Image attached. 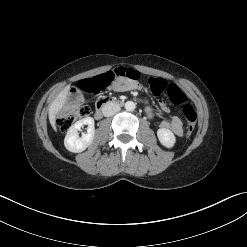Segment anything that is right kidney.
Listing matches in <instances>:
<instances>
[{
	"instance_id": "1",
	"label": "right kidney",
	"mask_w": 247,
	"mask_h": 247,
	"mask_svg": "<svg viewBox=\"0 0 247 247\" xmlns=\"http://www.w3.org/2000/svg\"><path fill=\"white\" fill-rule=\"evenodd\" d=\"M87 125V133L79 137L78 131ZM95 135L94 119L92 117L83 118L74 123L67 131L64 139L66 149L73 153L84 151L93 141Z\"/></svg>"
}]
</instances>
